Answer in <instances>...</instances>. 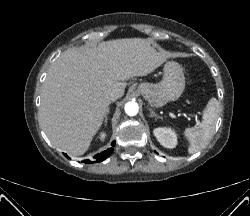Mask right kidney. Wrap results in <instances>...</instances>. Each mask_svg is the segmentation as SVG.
<instances>
[{"label":"right kidney","mask_w":250,"mask_h":216,"mask_svg":"<svg viewBox=\"0 0 250 216\" xmlns=\"http://www.w3.org/2000/svg\"><path fill=\"white\" fill-rule=\"evenodd\" d=\"M105 137H106V133L105 132H101L100 135H99L100 140L104 141Z\"/></svg>","instance_id":"ca27d5eb"}]
</instances>
